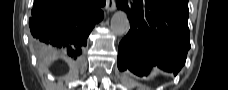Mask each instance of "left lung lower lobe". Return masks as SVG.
<instances>
[{
    "mask_svg": "<svg viewBox=\"0 0 228 90\" xmlns=\"http://www.w3.org/2000/svg\"><path fill=\"white\" fill-rule=\"evenodd\" d=\"M188 0H119L130 21V30L119 44L117 65L143 76L145 66L158 65L174 75L184 66L190 49Z\"/></svg>",
    "mask_w": 228,
    "mask_h": 90,
    "instance_id": "0a47b994",
    "label": "left lung lower lobe"
}]
</instances>
